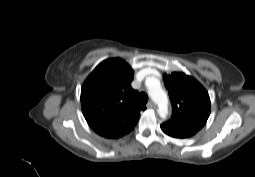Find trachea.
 <instances>
[{
    "label": "trachea",
    "instance_id": "1",
    "mask_svg": "<svg viewBox=\"0 0 255 177\" xmlns=\"http://www.w3.org/2000/svg\"><path fill=\"white\" fill-rule=\"evenodd\" d=\"M137 101L140 104H146L147 101H148V95L145 92L139 93L138 96H137Z\"/></svg>",
    "mask_w": 255,
    "mask_h": 177
}]
</instances>
